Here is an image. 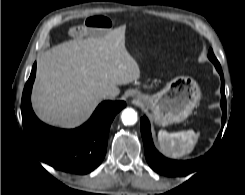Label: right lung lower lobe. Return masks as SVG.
<instances>
[{"label": "right lung lower lobe", "mask_w": 245, "mask_h": 195, "mask_svg": "<svg viewBox=\"0 0 245 195\" xmlns=\"http://www.w3.org/2000/svg\"><path fill=\"white\" fill-rule=\"evenodd\" d=\"M36 63L24 87L21 112L27 142L38 159L63 172L87 174L102 162L107 148L112 120L122 110L124 101H105L91 118L73 130L57 129L41 122L31 107V90Z\"/></svg>", "instance_id": "1"}]
</instances>
